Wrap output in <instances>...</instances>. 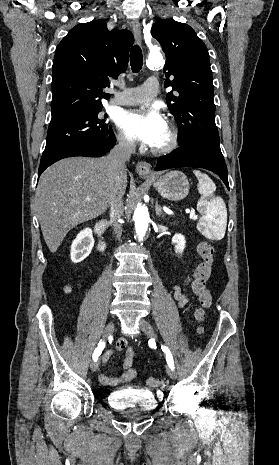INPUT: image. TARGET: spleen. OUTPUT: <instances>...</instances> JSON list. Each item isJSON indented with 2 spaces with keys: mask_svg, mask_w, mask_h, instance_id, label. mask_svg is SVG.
<instances>
[{
  "mask_svg": "<svg viewBox=\"0 0 279 465\" xmlns=\"http://www.w3.org/2000/svg\"><path fill=\"white\" fill-rule=\"evenodd\" d=\"M198 179V192L201 195L197 203V210L202 215L197 228L205 236L213 240H221L226 231L227 209L222 198L213 197L216 190L215 183L207 174L194 171Z\"/></svg>",
  "mask_w": 279,
  "mask_h": 465,
  "instance_id": "1",
  "label": "spleen"
}]
</instances>
